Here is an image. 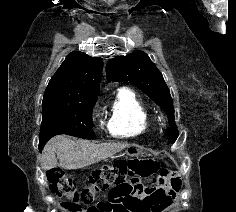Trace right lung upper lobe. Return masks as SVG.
Listing matches in <instances>:
<instances>
[{"label":"right lung upper lobe","mask_w":236,"mask_h":212,"mask_svg":"<svg viewBox=\"0 0 236 212\" xmlns=\"http://www.w3.org/2000/svg\"><path fill=\"white\" fill-rule=\"evenodd\" d=\"M102 68V58H93L80 51L71 52L50 79L43 100L97 98Z\"/></svg>","instance_id":"right-lung-upper-lobe-1"}]
</instances>
